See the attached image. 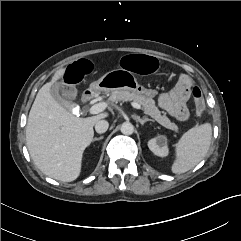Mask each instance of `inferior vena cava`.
Here are the masks:
<instances>
[{"instance_id": "602c4592", "label": "inferior vena cava", "mask_w": 241, "mask_h": 241, "mask_svg": "<svg viewBox=\"0 0 241 241\" xmlns=\"http://www.w3.org/2000/svg\"><path fill=\"white\" fill-rule=\"evenodd\" d=\"M108 127H109V123L106 120H99L95 124V130L99 134L105 133Z\"/></svg>"}]
</instances>
